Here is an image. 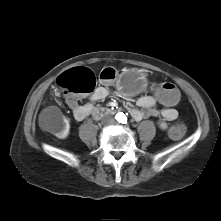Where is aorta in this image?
I'll return each mask as SVG.
<instances>
[{"mask_svg":"<svg viewBox=\"0 0 221 221\" xmlns=\"http://www.w3.org/2000/svg\"><path fill=\"white\" fill-rule=\"evenodd\" d=\"M123 117H124V114H123V113H118V114L116 115V119H117L118 121H120Z\"/></svg>","mask_w":221,"mask_h":221,"instance_id":"obj_1","label":"aorta"}]
</instances>
